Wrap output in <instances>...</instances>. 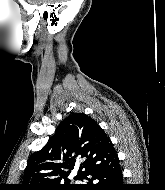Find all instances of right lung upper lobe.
I'll list each match as a JSON object with an SVG mask.
<instances>
[{
    "label": "right lung upper lobe",
    "mask_w": 165,
    "mask_h": 190,
    "mask_svg": "<svg viewBox=\"0 0 165 190\" xmlns=\"http://www.w3.org/2000/svg\"><path fill=\"white\" fill-rule=\"evenodd\" d=\"M114 154L112 142L91 117L72 114L60 123L49 142L29 157L19 189L53 190L73 185L67 176L78 160L82 162L75 179Z\"/></svg>",
    "instance_id": "right-lung-upper-lobe-1"
}]
</instances>
